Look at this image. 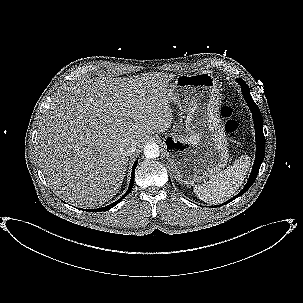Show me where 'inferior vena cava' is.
Returning <instances> with one entry per match:
<instances>
[{
  "instance_id": "1",
  "label": "inferior vena cava",
  "mask_w": 303,
  "mask_h": 303,
  "mask_svg": "<svg viewBox=\"0 0 303 303\" xmlns=\"http://www.w3.org/2000/svg\"><path fill=\"white\" fill-rule=\"evenodd\" d=\"M120 147L126 156H130L136 150V142L131 138H126L121 142Z\"/></svg>"
}]
</instances>
